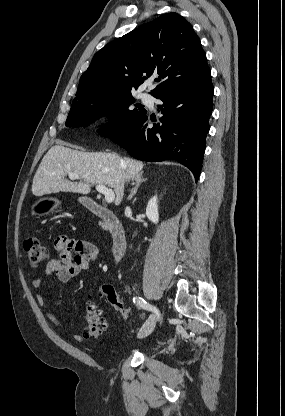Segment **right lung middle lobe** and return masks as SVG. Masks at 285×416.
I'll list each match as a JSON object with an SVG mask.
<instances>
[{
    "instance_id": "obj_1",
    "label": "right lung middle lobe",
    "mask_w": 285,
    "mask_h": 416,
    "mask_svg": "<svg viewBox=\"0 0 285 416\" xmlns=\"http://www.w3.org/2000/svg\"><path fill=\"white\" fill-rule=\"evenodd\" d=\"M134 102L132 96H125L72 110L69 112L66 125L68 127L86 126L99 116L110 113L112 122L99 131L102 136L110 138L125 131L146 115L147 111L140 104L135 105L138 109H129Z\"/></svg>"
}]
</instances>
